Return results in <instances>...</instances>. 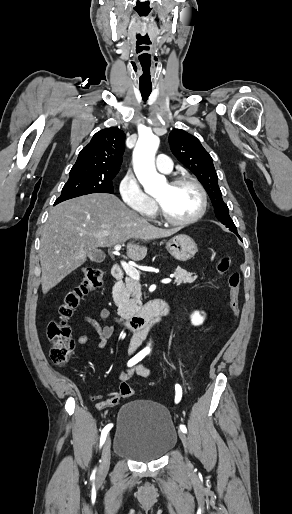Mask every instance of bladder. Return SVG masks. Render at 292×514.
<instances>
[{"label":"bladder","mask_w":292,"mask_h":514,"mask_svg":"<svg viewBox=\"0 0 292 514\" xmlns=\"http://www.w3.org/2000/svg\"><path fill=\"white\" fill-rule=\"evenodd\" d=\"M176 443L175 425L163 405L149 400H134L120 408L113 444L117 457L153 462L171 452Z\"/></svg>","instance_id":"1"}]
</instances>
